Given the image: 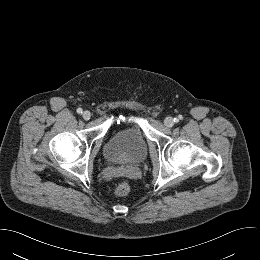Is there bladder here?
<instances>
[{"mask_svg": "<svg viewBox=\"0 0 260 260\" xmlns=\"http://www.w3.org/2000/svg\"><path fill=\"white\" fill-rule=\"evenodd\" d=\"M147 153V141L141 126L132 125L112 135L103 147V156L111 164L139 161Z\"/></svg>", "mask_w": 260, "mask_h": 260, "instance_id": "obj_1", "label": "bladder"}]
</instances>
